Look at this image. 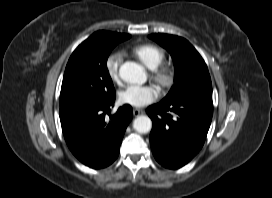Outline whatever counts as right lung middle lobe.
<instances>
[{
	"instance_id": "dd1d6c3e",
	"label": "right lung middle lobe",
	"mask_w": 272,
	"mask_h": 198,
	"mask_svg": "<svg viewBox=\"0 0 272 198\" xmlns=\"http://www.w3.org/2000/svg\"><path fill=\"white\" fill-rule=\"evenodd\" d=\"M128 38L130 35L97 42L67 64L60 93V108L105 103L115 98L106 63L112 49Z\"/></svg>"
}]
</instances>
